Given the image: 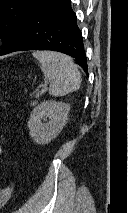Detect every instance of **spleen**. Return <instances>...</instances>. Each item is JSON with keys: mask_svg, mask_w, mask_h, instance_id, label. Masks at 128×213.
I'll list each match as a JSON object with an SVG mask.
<instances>
[{"mask_svg": "<svg viewBox=\"0 0 128 213\" xmlns=\"http://www.w3.org/2000/svg\"><path fill=\"white\" fill-rule=\"evenodd\" d=\"M33 56L50 83V95L63 96L80 88L81 75L71 57L53 51H34Z\"/></svg>", "mask_w": 128, "mask_h": 213, "instance_id": "obj_1", "label": "spleen"}]
</instances>
